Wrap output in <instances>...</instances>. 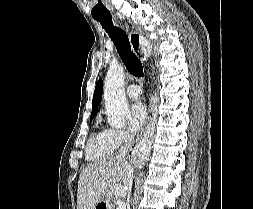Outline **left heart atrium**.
<instances>
[{
  "mask_svg": "<svg viewBox=\"0 0 253 209\" xmlns=\"http://www.w3.org/2000/svg\"><path fill=\"white\" fill-rule=\"evenodd\" d=\"M146 119H147L146 106L140 101L135 102L130 108L128 117L130 130L132 132L139 131L146 122Z\"/></svg>",
  "mask_w": 253,
  "mask_h": 209,
  "instance_id": "obj_1",
  "label": "left heart atrium"
}]
</instances>
